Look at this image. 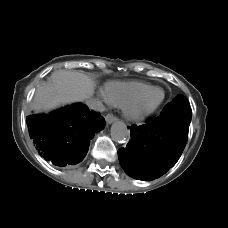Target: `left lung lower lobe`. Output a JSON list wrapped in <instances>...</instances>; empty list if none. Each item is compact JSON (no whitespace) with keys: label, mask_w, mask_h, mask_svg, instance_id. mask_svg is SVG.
Masks as SVG:
<instances>
[{"label":"left lung lower lobe","mask_w":228,"mask_h":228,"mask_svg":"<svg viewBox=\"0 0 228 228\" xmlns=\"http://www.w3.org/2000/svg\"><path fill=\"white\" fill-rule=\"evenodd\" d=\"M191 113L164 109L160 116L130 128L131 140L118 150L125 172L139 180H152L166 173L180 158L188 139Z\"/></svg>","instance_id":"obj_1"}]
</instances>
